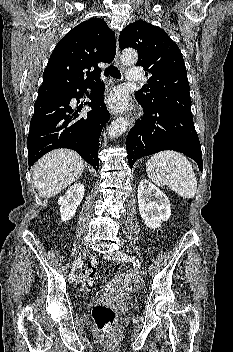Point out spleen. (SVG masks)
<instances>
[{
    "mask_svg": "<svg viewBox=\"0 0 233 352\" xmlns=\"http://www.w3.org/2000/svg\"><path fill=\"white\" fill-rule=\"evenodd\" d=\"M146 171L152 182L167 186L183 198H193L197 190V179L188 159L176 151H162L153 155L146 163Z\"/></svg>",
    "mask_w": 233,
    "mask_h": 352,
    "instance_id": "spleen-1",
    "label": "spleen"
}]
</instances>
